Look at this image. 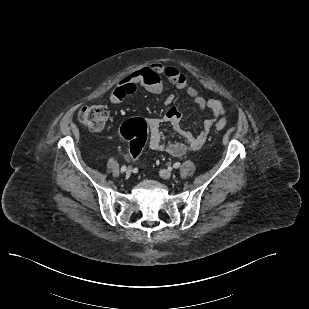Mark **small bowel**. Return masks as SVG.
Segmentation results:
<instances>
[{"label": "small bowel", "instance_id": "small-bowel-1", "mask_svg": "<svg viewBox=\"0 0 309 309\" xmlns=\"http://www.w3.org/2000/svg\"><path fill=\"white\" fill-rule=\"evenodd\" d=\"M163 77L176 88L184 90L199 109L208 108L212 114L210 118L204 120L202 129L197 134L183 131L180 128L182 115L175 107H170L161 118L147 119L150 148L173 156H182L203 146L212 127L226 112L221 101L217 99L206 100L195 87L189 84L185 75L177 68L162 64L144 67L121 79L111 93L109 101L112 104L122 102L127 96L135 94L138 86H142L150 93L159 94L164 88ZM172 101L173 98L170 96L166 99L167 104ZM163 123H168L171 126L172 134L177 137V140H166L161 128ZM126 158L130 159L131 157L127 155Z\"/></svg>", "mask_w": 309, "mask_h": 309}]
</instances>
